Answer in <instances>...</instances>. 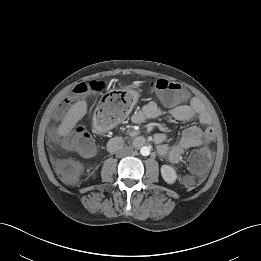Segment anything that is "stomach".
Listing matches in <instances>:
<instances>
[{"label": "stomach", "instance_id": "0dacf381", "mask_svg": "<svg viewBox=\"0 0 261 261\" xmlns=\"http://www.w3.org/2000/svg\"><path fill=\"white\" fill-rule=\"evenodd\" d=\"M138 97V91H136L135 89L130 88L126 90V92L124 93V98L128 102L129 109H131L136 104V102L138 101ZM93 126L97 132L104 133L110 130L114 126V123L104 120L103 117L99 113H97L94 115L93 118Z\"/></svg>", "mask_w": 261, "mask_h": 261}]
</instances>
